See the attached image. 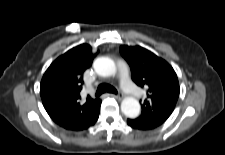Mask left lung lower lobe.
<instances>
[{"label":"left lung lower lobe","mask_w":225,"mask_h":155,"mask_svg":"<svg viewBox=\"0 0 225 155\" xmlns=\"http://www.w3.org/2000/svg\"><path fill=\"white\" fill-rule=\"evenodd\" d=\"M127 123L132 128L139 130H151L162 124L158 122H139L137 119H128Z\"/></svg>","instance_id":"obj_1"}]
</instances>
